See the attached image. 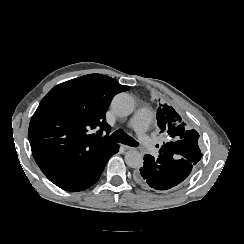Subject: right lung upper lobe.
Instances as JSON below:
<instances>
[{"instance_id":"obj_1","label":"right lung upper lobe","mask_w":244,"mask_h":244,"mask_svg":"<svg viewBox=\"0 0 244 244\" xmlns=\"http://www.w3.org/2000/svg\"><path fill=\"white\" fill-rule=\"evenodd\" d=\"M115 79L89 74L55 86L40 102L28 131L33 157L42 171L113 143L90 130H110L104 121L114 95L127 91Z\"/></svg>"}]
</instances>
